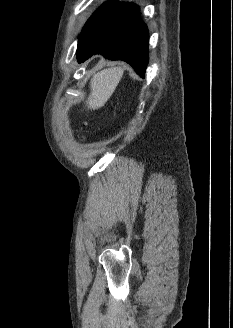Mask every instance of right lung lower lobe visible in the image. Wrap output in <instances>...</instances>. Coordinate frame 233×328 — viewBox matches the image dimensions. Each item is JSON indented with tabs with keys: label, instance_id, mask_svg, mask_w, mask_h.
<instances>
[{
	"label": "right lung lower lobe",
	"instance_id": "1",
	"mask_svg": "<svg viewBox=\"0 0 233 328\" xmlns=\"http://www.w3.org/2000/svg\"><path fill=\"white\" fill-rule=\"evenodd\" d=\"M148 29L133 3H104L88 20L81 33L77 58L84 62L95 54L129 63L144 77L148 63Z\"/></svg>",
	"mask_w": 233,
	"mask_h": 328
}]
</instances>
